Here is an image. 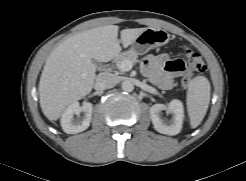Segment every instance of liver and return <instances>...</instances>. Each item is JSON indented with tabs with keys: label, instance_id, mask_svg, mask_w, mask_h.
<instances>
[{
	"label": "liver",
	"instance_id": "6515ba94",
	"mask_svg": "<svg viewBox=\"0 0 246 181\" xmlns=\"http://www.w3.org/2000/svg\"><path fill=\"white\" fill-rule=\"evenodd\" d=\"M146 29L121 30L123 47L131 45ZM118 30L116 25H106L75 34L49 55L39 81V98L42 112L50 121L91 92L96 78L92 61L108 62L120 53Z\"/></svg>",
	"mask_w": 246,
	"mask_h": 181
}]
</instances>
